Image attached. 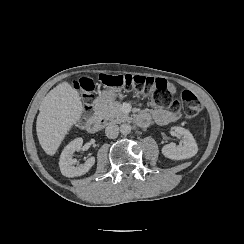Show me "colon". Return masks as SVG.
<instances>
[{
  "instance_id": "5ec220e1",
  "label": "colon",
  "mask_w": 244,
  "mask_h": 244,
  "mask_svg": "<svg viewBox=\"0 0 244 244\" xmlns=\"http://www.w3.org/2000/svg\"><path fill=\"white\" fill-rule=\"evenodd\" d=\"M101 84L119 88L136 90L137 95L145 94L149 101L158 107H168L171 111L179 114L183 112L188 118H196L203 105L201 100L188 89L181 94V103L174 99L169 91L168 82L162 78L143 75H99ZM83 97L86 101L94 99L95 86L91 81L81 84ZM183 106V108H181Z\"/></svg>"
}]
</instances>
